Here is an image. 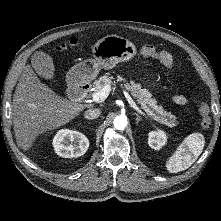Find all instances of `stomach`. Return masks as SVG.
<instances>
[{"label": "stomach", "instance_id": "stomach-1", "mask_svg": "<svg viewBox=\"0 0 221 221\" xmlns=\"http://www.w3.org/2000/svg\"><path fill=\"white\" fill-rule=\"evenodd\" d=\"M94 59L84 60L68 72L70 84L78 86L94 80L101 69L110 70L118 63L129 61L137 54L136 46L127 38L108 35L92 47Z\"/></svg>", "mask_w": 221, "mask_h": 221}]
</instances>
